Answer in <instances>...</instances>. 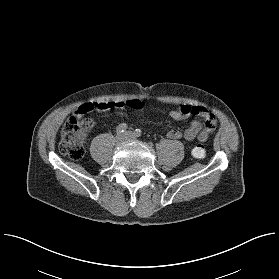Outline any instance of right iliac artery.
<instances>
[{
  "mask_svg": "<svg viewBox=\"0 0 279 279\" xmlns=\"http://www.w3.org/2000/svg\"><path fill=\"white\" fill-rule=\"evenodd\" d=\"M127 129V125L125 123H122L120 125L117 126L116 128V133L117 134H121L123 133L125 130Z\"/></svg>",
  "mask_w": 279,
  "mask_h": 279,
  "instance_id": "1",
  "label": "right iliac artery"
}]
</instances>
